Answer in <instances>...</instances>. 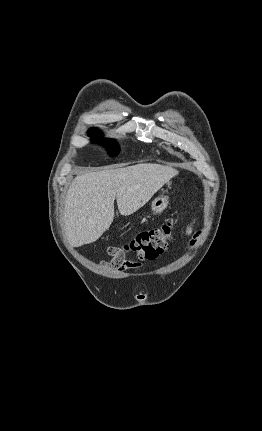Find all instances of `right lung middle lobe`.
<instances>
[{"label": "right lung middle lobe", "instance_id": "right-lung-middle-lobe-1", "mask_svg": "<svg viewBox=\"0 0 262 431\" xmlns=\"http://www.w3.org/2000/svg\"><path fill=\"white\" fill-rule=\"evenodd\" d=\"M88 135L90 137H93V138L99 140L100 136H101V132L98 129H96V128H92V129H90L88 131ZM104 144L108 147L109 152H110L111 155H115L117 153L118 146L116 145L115 141H113V140H105Z\"/></svg>", "mask_w": 262, "mask_h": 431}]
</instances>
